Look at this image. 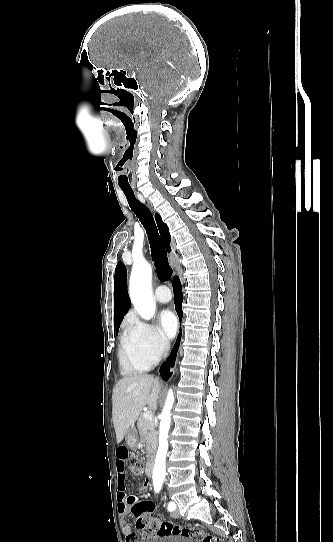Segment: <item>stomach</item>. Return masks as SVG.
Listing matches in <instances>:
<instances>
[{
  "label": "stomach",
  "mask_w": 333,
  "mask_h": 542,
  "mask_svg": "<svg viewBox=\"0 0 333 542\" xmlns=\"http://www.w3.org/2000/svg\"><path fill=\"white\" fill-rule=\"evenodd\" d=\"M126 444L129 446V448H136L138 442H139V436L138 432L135 428V426H131L129 428L126 436H125Z\"/></svg>",
  "instance_id": "1"
}]
</instances>
